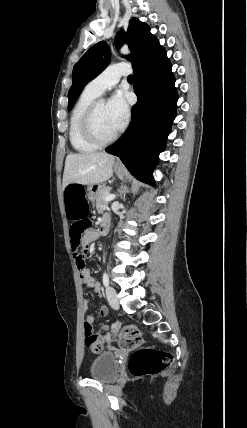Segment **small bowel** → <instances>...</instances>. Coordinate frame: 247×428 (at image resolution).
I'll use <instances>...</instances> for the list:
<instances>
[{
	"label": "small bowel",
	"instance_id": "c3829d8e",
	"mask_svg": "<svg viewBox=\"0 0 247 428\" xmlns=\"http://www.w3.org/2000/svg\"><path fill=\"white\" fill-rule=\"evenodd\" d=\"M98 237H99V232H97L95 230H87L82 237L83 247L86 249ZM78 269H79V277H80V281H81L82 285L87 287V288H92L94 290L95 294L98 297H101L102 296L101 287H100L99 283L91 276L90 270L85 266L78 267ZM82 309H83V312L85 314V321H86V319L89 318L94 323V317L87 313L88 306H84L82 304ZM112 339H113V337L111 334H105V341L111 342Z\"/></svg>",
	"mask_w": 247,
	"mask_h": 428
}]
</instances>
